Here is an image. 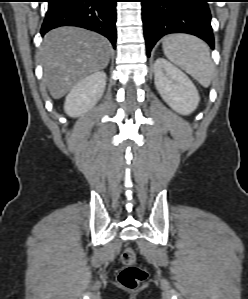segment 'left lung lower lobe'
Listing matches in <instances>:
<instances>
[{
  "instance_id": "left-lung-lower-lobe-1",
  "label": "left lung lower lobe",
  "mask_w": 248,
  "mask_h": 299,
  "mask_svg": "<svg viewBox=\"0 0 248 299\" xmlns=\"http://www.w3.org/2000/svg\"><path fill=\"white\" fill-rule=\"evenodd\" d=\"M209 0H141L147 53L169 33H188L214 47Z\"/></svg>"
}]
</instances>
